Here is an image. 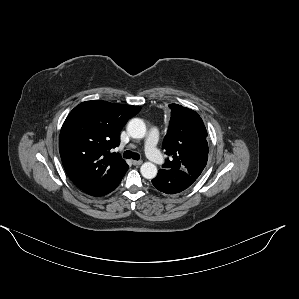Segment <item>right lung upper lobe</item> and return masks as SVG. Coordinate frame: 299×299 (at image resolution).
<instances>
[{
    "instance_id": "obj_1",
    "label": "right lung upper lobe",
    "mask_w": 299,
    "mask_h": 299,
    "mask_svg": "<svg viewBox=\"0 0 299 299\" xmlns=\"http://www.w3.org/2000/svg\"><path fill=\"white\" fill-rule=\"evenodd\" d=\"M141 107L93 100L77 105L64 121L59 151L72 182L85 193H110L128 165L118 153L120 131Z\"/></svg>"
}]
</instances>
